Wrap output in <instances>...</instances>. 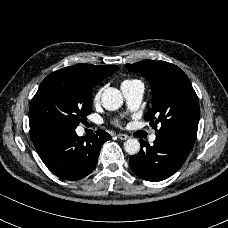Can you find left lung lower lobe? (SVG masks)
I'll return each instance as SVG.
<instances>
[{
  "mask_svg": "<svg viewBox=\"0 0 228 228\" xmlns=\"http://www.w3.org/2000/svg\"><path fill=\"white\" fill-rule=\"evenodd\" d=\"M141 150L129 159L132 171L140 178L157 182L177 172L194 143L175 137L157 136L154 145L140 139Z\"/></svg>",
  "mask_w": 228,
  "mask_h": 228,
  "instance_id": "left-lung-lower-lobe-1",
  "label": "left lung lower lobe"
}]
</instances>
